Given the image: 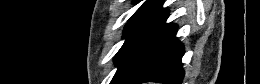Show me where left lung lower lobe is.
<instances>
[{"instance_id":"0a47b994","label":"left lung lower lobe","mask_w":260,"mask_h":84,"mask_svg":"<svg viewBox=\"0 0 260 84\" xmlns=\"http://www.w3.org/2000/svg\"><path fill=\"white\" fill-rule=\"evenodd\" d=\"M167 17L161 1L118 54L111 84L182 83L184 48L175 37L176 25L165 24Z\"/></svg>"}]
</instances>
